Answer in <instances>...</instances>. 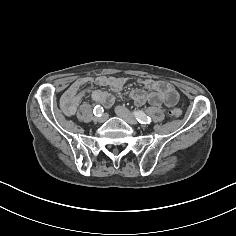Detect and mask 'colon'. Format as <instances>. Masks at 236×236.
Masks as SVG:
<instances>
[{"instance_id":"1","label":"colon","mask_w":236,"mask_h":236,"mask_svg":"<svg viewBox=\"0 0 236 236\" xmlns=\"http://www.w3.org/2000/svg\"><path fill=\"white\" fill-rule=\"evenodd\" d=\"M170 115L174 118H179L181 115V111L178 108H174L170 111Z\"/></svg>"}]
</instances>
